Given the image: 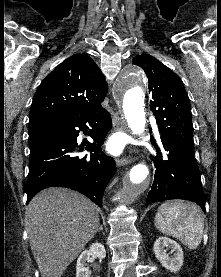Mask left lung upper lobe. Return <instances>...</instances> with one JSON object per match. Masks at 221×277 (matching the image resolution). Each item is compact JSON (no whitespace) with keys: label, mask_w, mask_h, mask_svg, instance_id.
Returning <instances> with one entry per match:
<instances>
[{"label":"left lung upper lobe","mask_w":221,"mask_h":277,"mask_svg":"<svg viewBox=\"0 0 221 277\" xmlns=\"http://www.w3.org/2000/svg\"><path fill=\"white\" fill-rule=\"evenodd\" d=\"M132 63L140 66L148 77L150 110L160 135L194 152L192 114L182 80L149 54L135 56Z\"/></svg>","instance_id":"obj_1"}]
</instances>
